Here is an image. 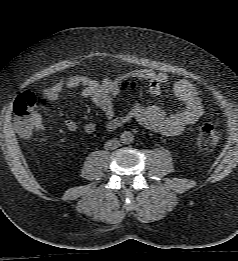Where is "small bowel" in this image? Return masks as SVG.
<instances>
[{"instance_id":"small-bowel-1","label":"small bowel","mask_w":238,"mask_h":261,"mask_svg":"<svg viewBox=\"0 0 238 261\" xmlns=\"http://www.w3.org/2000/svg\"><path fill=\"white\" fill-rule=\"evenodd\" d=\"M131 80H144L149 84L153 95H159L167 85L169 77L166 73L156 72L150 68L131 70L116 78H105L97 81L83 75H71L61 79L47 88L41 95L43 106L56 101L66 89L82 87L81 96L90 99L99 107L107 118L106 129L112 132L123 125L135 121L144 128L167 136L181 134L188 126L194 124L203 113V105L197 86L191 81L182 79L173 84V92L182 106L175 112H166L157 105L144 106L133 104L123 115H116V102L121 88ZM43 127L41 126L39 129ZM64 127L69 131L82 128L92 134L97 126L93 122L80 124L75 120H66Z\"/></svg>"}]
</instances>
